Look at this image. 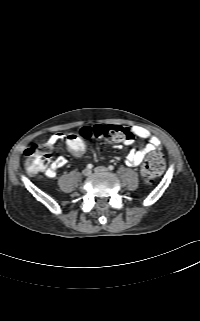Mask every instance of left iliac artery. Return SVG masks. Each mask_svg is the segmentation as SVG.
<instances>
[{"instance_id": "44dca946", "label": "left iliac artery", "mask_w": 200, "mask_h": 321, "mask_svg": "<svg viewBox=\"0 0 200 321\" xmlns=\"http://www.w3.org/2000/svg\"><path fill=\"white\" fill-rule=\"evenodd\" d=\"M108 169H109V170H113L114 167H113L112 165H110V166L108 167Z\"/></svg>"}]
</instances>
